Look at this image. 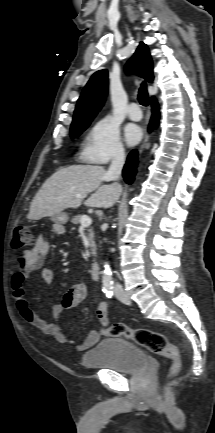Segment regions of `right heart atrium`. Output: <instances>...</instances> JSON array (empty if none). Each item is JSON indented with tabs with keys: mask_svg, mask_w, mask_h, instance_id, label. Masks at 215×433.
Segmentation results:
<instances>
[{
	"mask_svg": "<svg viewBox=\"0 0 215 433\" xmlns=\"http://www.w3.org/2000/svg\"><path fill=\"white\" fill-rule=\"evenodd\" d=\"M125 154L118 124L111 117H102L89 129L82 158L95 164H105L120 159Z\"/></svg>",
	"mask_w": 215,
	"mask_h": 433,
	"instance_id": "right-heart-atrium-1",
	"label": "right heart atrium"
}]
</instances>
